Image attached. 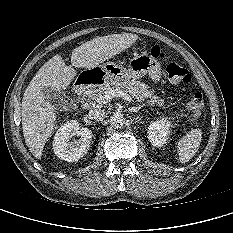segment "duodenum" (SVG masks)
Listing matches in <instances>:
<instances>
[{
  "mask_svg": "<svg viewBox=\"0 0 233 233\" xmlns=\"http://www.w3.org/2000/svg\"><path fill=\"white\" fill-rule=\"evenodd\" d=\"M102 76L100 74L88 73L80 76L73 85V91L77 94L82 93L89 87L101 82Z\"/></svg>",
  "mask_w": 233,
  "mask_h": 233,
  "instance_id": "410a0bca",
  "label": "duodenum"
}]
</instances>
